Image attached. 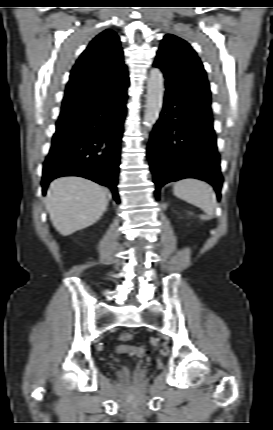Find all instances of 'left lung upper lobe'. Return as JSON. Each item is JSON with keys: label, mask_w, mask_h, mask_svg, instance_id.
<instances>
[{"label": "left lung upper lobe", "mask_w": 273, "mask_h": 430, "mask_svg": "<svg viewBox=\"0 0 273 430\" xmlns=\"http://www.w3.org/2000/svg\"><path fill=\"white\" fill-rule=\"evenodd\" d=\"M154 66L162 70L166 84L175 96L202 115L211 114V92L202 62L183 39L167 34L161 43Z\"/></svg>", "instance_id": "left-lung-upper-lobe-1"}]
</instances>
